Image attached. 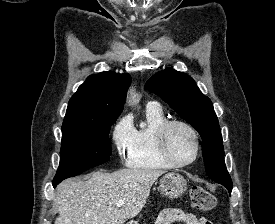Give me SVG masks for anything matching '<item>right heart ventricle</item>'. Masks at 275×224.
<instances>
[{
    "mask_svg": "<svg viewBox=\"0 0 275 224\" xmlns=\"http://www.w3.org/2000/svg\"><path fill=\"white\" fill-rule=\"evenodd\" d=\"M147 126L135 129L134 141L127 154L128 167L139 170H166L173 166L164 161L155 144V134L167 119L160 107H146Z\"/></svg>",
    "mask_w": 275,
    "mask_h": 224,
    "instance_id": "right-heart-ventricle-1",
    "label": "right heart ventricle"
}]
</instances>
